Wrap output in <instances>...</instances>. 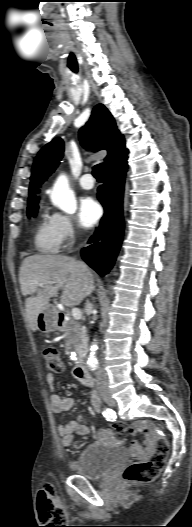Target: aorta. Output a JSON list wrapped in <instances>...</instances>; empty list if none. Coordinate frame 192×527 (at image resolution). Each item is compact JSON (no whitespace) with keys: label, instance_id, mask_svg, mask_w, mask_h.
<instances>
[{"label":"aorta","instance_id":"762f6f07","mask_svg":"<svg viewBox=\"0 0 192 527\" xmlns=\"http://www.w3.org/2000/svg\"><path fill=\"white\" fill-rule=\"evenodd\" d=\"M52 202L55 206L68 214H73L77 210V202L74 192L69 187L68 178L65 174H61L53 186L51 194ZM96 343H92L90 354L88 356L87 364L91 370L98 367V360L96 358Z\"/></svg>","mask_w":192,"mask_h":527}]
</instances>
